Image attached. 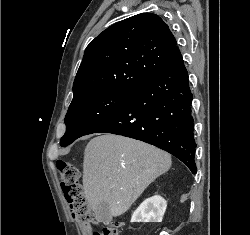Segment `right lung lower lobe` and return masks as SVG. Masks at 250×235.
<instances>
[{
  "label": "right lung lower lobe",
  "mask_w": 250,
  "mask_h": 235,
  "mask_svg": "<svg viewBox=\"0 0 250 235\" xmlns=\"http://www.w3.org/2000/svg\"><path fill=\"white\" fill-rule=\"evenodd\" d=\"M188 73L177 48L169 65L87 134L112 133L161 148L197 172ZM86 134V135H87Z\"/></svg>",
  "instance_id": "1"
}]
</instances>
